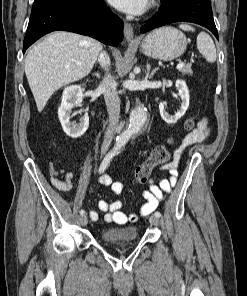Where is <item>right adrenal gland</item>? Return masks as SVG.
<instances>
[{"label": "right adrenal gland", "mask_w": 247, "mask_h": 296, "mask_svg": "<svg viewBox=\"0 0 247 296\" xmlns=\"http://www.w3.org/2000/svg\"><path fill=\"white\" fill-rule=\"evenodd\" d=\"M93 75L95 76V77H97L98 79H100L101 78V76H100V74L97 72V73H93Z\"/></svg>", "instance_id": "obj_1"}]
</instances>
